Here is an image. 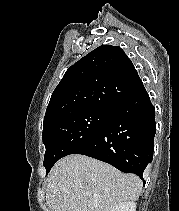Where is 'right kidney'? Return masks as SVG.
Segmentation results:
<instances>
[{"label":"right kidney","instance_id":"1","mask_svg":"<svg viewBox=\"0 0 179 211\" xmlns=\"http://www.w3.org/2000/svg\"><path fill=\"white\" fill-rule=\"evenodd\" d=\"M110 211H136V203L133 201L123 202L114 206Z\"/></svg>","mask_w":179,"mask_h":211}]
</instances>
